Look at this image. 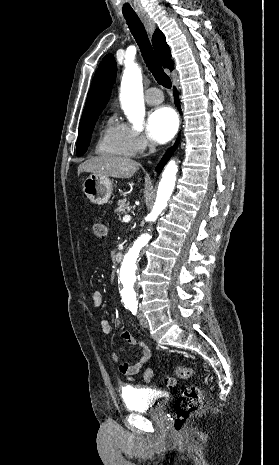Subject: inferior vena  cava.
Listing matches in <instances>:
<instances>
[{
  "label": "inferior vena cava",
  "instance_id": "1",
  "mask_svg": "<svg viewBox=\"0 0 279 465\" xmlns=\"http://www.w3.org/2000/svg\"><path fill=\"white\" fill-rule=\"evenodd\" d=\"M149 151H150V152H154V151H155V144H153V143H150V144H149Z\"/></svg>",
  "mask_w": 279,
  "mask_h": 465
}]
</instances>
